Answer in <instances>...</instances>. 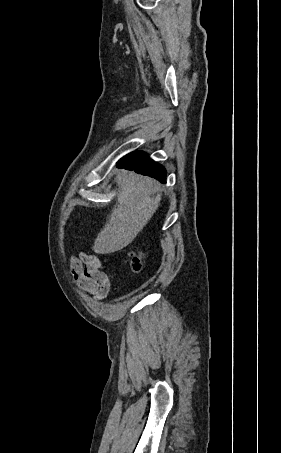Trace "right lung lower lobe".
<instances>
[{
	"mask_svg": "<svg viewBox=\"0 0 281 453\" xmlns=\"http://www.w3.org/2000/svg\"><path fill=\"white\" fill-rule=\"evenodd\" d=\"M117 167L134 170L136 173L153 177L162 183L166 182L165 169L151 160L145 152H132L126 155L117 163Z\"/></svg>",
	"mask_w": 281,
	"mask_h": 453,
	"instance_id": "obj_1",
	"label": "right lung lower lobe"
}]
</instances>
